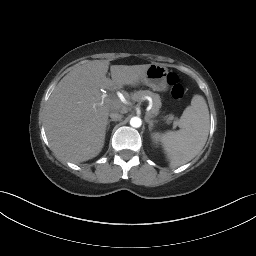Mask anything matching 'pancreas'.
<instances>
[{
    "label": "pancreas",
    "mask_w": 256,
    "mask_h": 256,
    "mask_svg": "<svg viewBox=\"0 0 256 256\" xmlns=\"http://www.w3.org/2000/svg\"><path fill=\"white\" fill-rule=\"evenodd\" d=\"M145 96H150L153 100L152 109L150 110V112H147V115H150L152 117L157 116L159 114V112H160L159 110L162 106L161 99L158 94H155L149 90H140V91H137L134 94H132L131 99L133 101H140ZM164 120L166 121L167 124H170L171 122H173L174 128L179 125L178 119L176 117H174L173 114H169V115L165 116Z\"/></svg>",
    "instance_id": "cf45deb5"
}]
</instances>
